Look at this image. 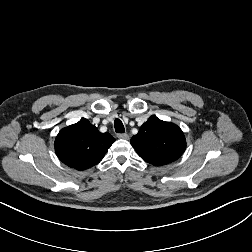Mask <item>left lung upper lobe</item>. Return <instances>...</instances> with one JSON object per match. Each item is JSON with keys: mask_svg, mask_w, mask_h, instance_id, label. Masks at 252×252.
Here are the masks:
<instances>
[{"mask_svg": "<svg viewBox=\"0 0 252 252\" xmlns=\"http://www.w3.org/2000/svg\"><path fill=\"white\" fill-rule=\"evenodd\" d=\"M131 145L142 159L161 166L175 161L183 154L186 140L177 125L151 116L131 138Z\"/></svg>", "mask_w": 252, "mask_h": 252, "instance_id": "5c2ea615", "label": "left lung upper lobe"}]
</instances>
